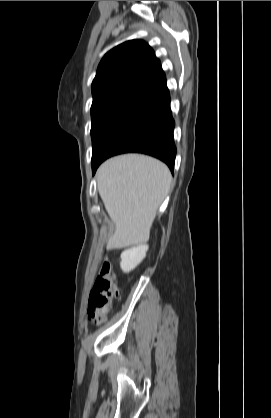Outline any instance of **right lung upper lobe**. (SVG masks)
I'll return each mask as SVG.
<instances>
[{
    "instance_id": "obj_1",
    "label": "right lung upper lobe",
    "mask_w": 271,
    "mask_h": 418,
    "mask_svg": "<svg viewBox=\"0 0 271 418\" xmlns=\"http://www.w3.org/2000/svg\"><path fill=\"white\" fill-rule=\"evenodd\" d=\"M93 104L130 97L155 104L169 96L166 77L152 48L126 41L101 60L92 82Z\"/></svg>"
}]
</instances>
